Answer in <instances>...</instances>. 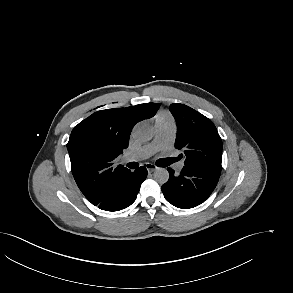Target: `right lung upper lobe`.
Instances as JSON below:
<instances>
[{"instance_id":"cb5924a9","label":"right lung upper lobe","mask_w":293,"mask_h":293,"mask_svg":"<svg viewBox=\"0 0 293 293\" xmlns=\"http://www.w3.org/2000/svg\"><path fill=\"white\" fill-rule=\"evenodd\" d=\"M159 103L101 110L76 125L67 149L74 179L94 205L113 194L116 183L131 171L114 159L128 147L134 125L155 115Z\"/></svg>"}]
</instances>
